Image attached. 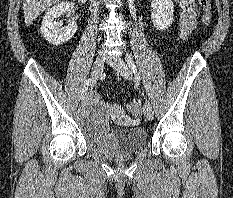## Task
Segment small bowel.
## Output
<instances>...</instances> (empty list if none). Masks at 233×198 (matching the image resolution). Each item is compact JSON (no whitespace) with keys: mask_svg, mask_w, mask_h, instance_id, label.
<instances>
[{"mask_svg":"<svg viewBox=\"0 0 233 198\" xmlns=\"http://www.w3.org/2000/svg\"><path fill=\"white\" fill-rule=\"evenodd\" d=\"M180 7V35L186 37L196 27L197 6L195 0H176ZM115 111L121 115V109L115 107Z\"/></svg>","mask_w":233,"mask_h":198,"instance_id":"small-bowel-1","label":"small bowel"}]
</instances>
